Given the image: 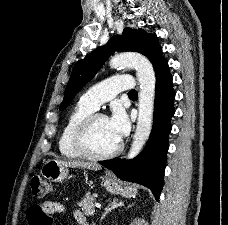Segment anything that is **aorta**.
<instances>
[{
	"instance_id": "1",
	"label": "aorta",
	"mask_w": 228,
	"mask_h": 225,
	"mask_svg": "<svg viewBox=\"0 0 228 225\" xmlns=\"http://www.w3.org/2000/svg\"><path fill=\"white\" fill-rule=\"evenodd\" d=\"M110 66L111 68L133 66L137 70V78L140 84L138 123L131 149L128 153V159H134V157L139 155L146 141H148L152 129L156 84L154 68L150 60L146 56L138 54V52L114 54L110 60Z\"/></svg>"
}]
</instances>
